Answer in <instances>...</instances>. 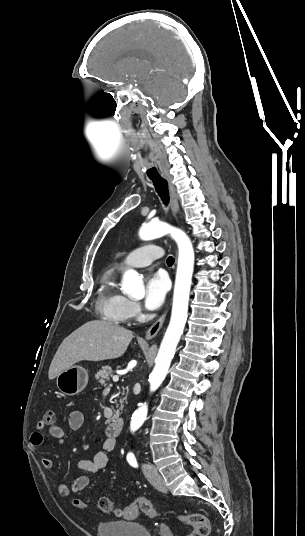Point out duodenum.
I'll use <instances>...</instances> for the list:
<instances>
[{
  "instance_id": "duodenum-1",
  "label": "duodenum",
  "mask_w": 305,
  "mask_h": 536,
  "mask_svg": "<svg viewBox=\"0 0 305 536\" xmlns=\"http://www.w3.org/2000/svg\"><path fill=\"white\" fill-rule=\"evenodd\" d=\"M124 429V421L121 418L114 419L106 426V434L109 438H113L122 434Z\"/></svg>"
}]
</instances>
